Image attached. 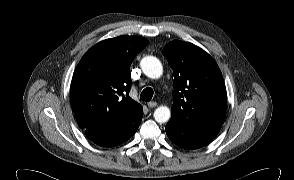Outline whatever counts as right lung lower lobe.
I'll return each mask as SVG.
<instances>
[{
    "label": "right lung lower lobe",
    "instance_id": "obj_1",
    "mask_svg": "<svg viewBox=\"0 0 294 180\" xmlns=\"http://www.w3.org/2000/svg\"><path fill=\"white\" fill-rule=\"evenodd\" d=\"M142 117L143 110L141 107L120 127L109 132L88 134L87 136L99 146L112 147L119 145L135 134L141 123Z\"/></svg>",
    "mask_w": 294,
    "mask_h": 180
}]
</instances>
